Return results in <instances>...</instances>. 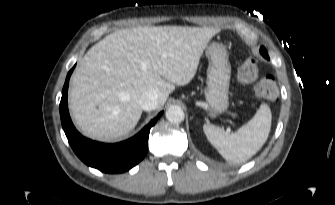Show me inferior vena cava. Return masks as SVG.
<instances>
[{
	"label": "inferior vena cava",
	"instance_id": "1",
	"mask_svg": "<svg viewBox=\"0 0 335 205\" xmlns=\"http://www.w3.org/2000/svg\"><path fill=\"white\" fill-rule=\"evenodd\" d=\"M158 93L154 89L144 92L139 98V104L145 111H151L158 106Z\"/></svg>",
	"mask_w": 335,
	"mask_h": 205
}]
</instances>
